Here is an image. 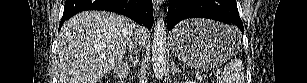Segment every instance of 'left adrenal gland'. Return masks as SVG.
Listing matches in <instances>:
<instances>
[{"label":"left adrenal gland","instance_id":"obj_1","mask_svg":"<svg viewBox=\"0 0 307 83\" xmlns=\"http://www.w3.org/2000/svg\"><path fill=\"white\" fill-rule=\"evenodd\" d=\"M171 72H172V74L173 75H175V74H182V75H184L183 74V72L179 69V68H177L176 66H175V63L174 62H172V69H171Z\"/></svg>","mask_w":307,"mask_h":83}]
</instances>
